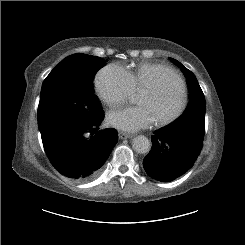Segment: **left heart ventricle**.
<instances>
[{"label": "left heart ventricle", "instance_id": "obj_1", "mask_svg": "<svg viewBox=\"0 0 245 245\" xmlns=\"http://www.w3.org/2000/svg\"><path fill=\"white\" fill-rule=\"evenodd\" d=\"M156 84L164 85L160 95L141 92L138 99V104L147 107L155 121L173 112L180 102L178 86L172 76L161 75Z\"/></svg>", "mask_w": 245, "mask_h": 245}]
</instances>
